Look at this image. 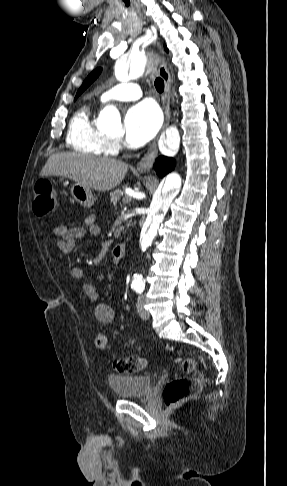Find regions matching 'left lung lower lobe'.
<instances>
[{"instance_id": "left-lung-lower-lobe-1", "label": "left lung lower lobe", "mask_w": 287, "mask_h": 486, "mask_svg": "<svg viewBox=\"0 0 287 486\" xmlns=\"http://www.w3.org/2000/svg\"><path fill=\"white\" fill-rule=\"evenodd\" d=\"M175 166V161L172 158L160 156L156 159L154 169L159 176H164L170 172Z\"/></svg>"}]
</instances>
